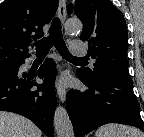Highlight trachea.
<instances>
[{
	"label": "trachea",
	"instance_id": "1",
	"mask_svg": "<svg viewBox=\"0 0 144 137\" xmlns=\"http://www.w3.org/2000/svg\"><path fill=\"white\" fill-rule=\"evenodd\" d=\"M55 46L59 54L68 60H80L86 61L82 57H74L70 54L62 36L61 32V23L60 20L56 17L51 23L49 29V36L41 39L36 43V53L37 54H47L52 46Z\"/></svg>",
	"mask_w": 144,
	"mask_h": 137
}]
</instances>
